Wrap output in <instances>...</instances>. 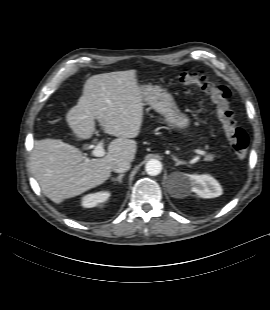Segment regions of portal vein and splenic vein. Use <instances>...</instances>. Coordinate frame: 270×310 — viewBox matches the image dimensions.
<instances>
[{
  "label": "portal vein and splenic vein",
  "instance_id": "1",
  "mask_svg": "<svg viewBox=\"0 0 270 310\" xmlns=\"http://www.w3.org/2000/svg\"><path fill=\"white\" fill-rule=\"evenodd\" d=\"M194 152L198 155L201 156H206V152L203 150H199V149H195ZM92 156L94 157H102L105 155V150H104V142L100 141L94 148V150L92 151Z\"/></svg>",
  "mask_w": 270,
  "mask_h": 310
}]
</instances>
